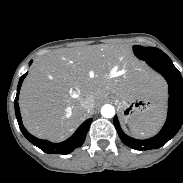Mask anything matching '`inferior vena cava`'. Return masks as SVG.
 Wrapping results in <instances>:
<instances>
[{"instance_id": "inferior-vena-cava-1", "label": "inferior vena cava", "mask_w": 183, "mask_h": 183, "mask_svg": "<svg viewBox=\"0 0 183 183\" xmlns=\"http://www.w3.org/2000/svg\"><path fill=\"white\" fill-rule=\"evenodd\" d=\"M94 98L91 94L87 93L80 99V105L84 109H90L93 106Z\"/></svg>"}]
</instances>
